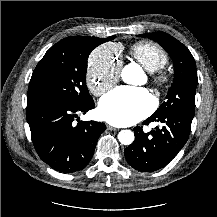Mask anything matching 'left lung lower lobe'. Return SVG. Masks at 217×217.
<instances>
[{
  "mask_svg": "<svg viewBox=\"0 0 217 217\" xmlns=\"http://www.w3.org/2000/svg\"><path fill=\"white\" fill-rule=\"evenodd\" d=\"M193 116L182 112H169L150 116L143 124L157 121L162 128L144 133L142 127H135L134 142L125 149L127 162L136 170L153 172L167 165L188 140Z\"/></svg>",
  "mask_w": 217,
  "mask_h": 217,
  "instance_id": "left-lung-lower-lobe-1",
  "label": "left lung lower lobe"
}]
</instances>
